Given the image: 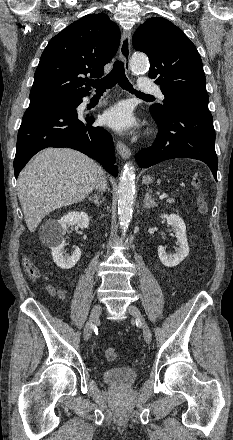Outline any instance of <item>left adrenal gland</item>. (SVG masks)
Segmentation results:
<instances>
[{
  "mask_svg": "<svg viewBox=\"0 0 233 440\" xmlns=\"http://www.w3.org/2000/svg\"><path fill=\"white\" fill-rule=\"evenodd\" d=\"M150 207H157V203L152 198L150 192H147L144 198V208H150Z\"/></svg>",
  "mask_w": 233,
  "mask_h": 440,
  "instance_id": "obj_1",
  "label": "left adrenal gland"
}]
</instances>
